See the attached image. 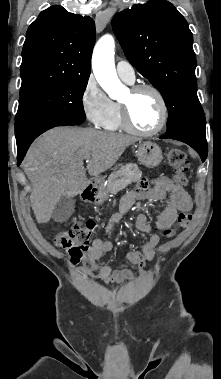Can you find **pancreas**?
<instances>
[{"label": "pancreas", "mask_w": 221, "mask_h": 379, "mask_svg": "<svg viewBox=\"0 0 221 379\" xmlns=\"http://www.w3.org/2000/svg\"><path fill=\"white\" fill-rule=\"evenodd\" d=\"M141 176L142 172L136 164H126L109 176L107 181V190L112 193L117 192L132 182H137L141 179Z\"/></svg>", "instance_id": "cf45deb5"}]
</instances>
